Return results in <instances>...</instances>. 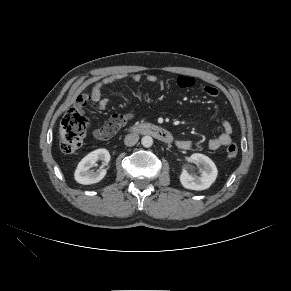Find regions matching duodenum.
<instances>
[{"label":"duodenum","instance_id":"duodenum-1","mask_svg":"<svg viewBox=\"0 0 291 291\" xmlns=\"http://www.w3.org/2000/svg\"><path fill=\"white\" fill-rule=\"evenodd\" d=\"M131 131L144 135L153 136L154 138L164 143H171L173 141V136L168 130L155 124L143 123L132 127Z\"/></svg>","mask_w":291,"mask_h":291}]
</instances>
